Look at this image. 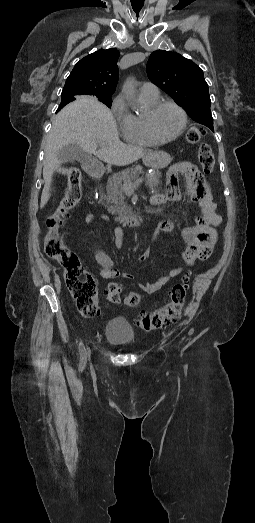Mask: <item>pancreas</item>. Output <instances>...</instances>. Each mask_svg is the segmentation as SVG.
<instances>
[{
  "mask_svg": "<svg viewBox=\"0 0 255 523\" xmlns=\"http://www.w3.org/2000/svg\"><path fill=\"white\" fill-rule=\"evenodd\" d=\"M138 174H144L141 166L127 168V170H123V172H119V174H113V176H110L106 186V192L108 194L106 202L107 204H114V206H108L109 214H118V216H127V214H131V208L124 204L123 182H131V180H135L138 178ZM160 178L161 172H153V176L146 174V186H149L151 192H155L154 188L155 186H158Z\"/></svg>",
  "mask_w": 255,
  "mask_h": 523,
  "instance_id": "1",
  "label": "pancreas"
}]
</instances>
